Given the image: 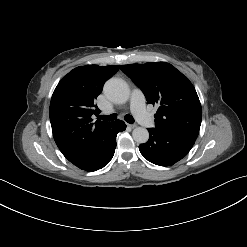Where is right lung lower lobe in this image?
<instances>
[{"mask_svg":"<svg viewBox=\"0 0 247 247\" xmlns=\"http://www.w3.org/2000/svg\"><path fill=\"white\" fill-rule=\"evenodd\" d=\"M126 129L121 120L109 122L94 129L85 140L81 150L67 159L78 168L92 172L106 166L116 148V136Z\"/></svg>","mask_w":247,"mask_h":247,"instance_id":"98d812e1","label":"right lung lower lobe"}]
</instances>
